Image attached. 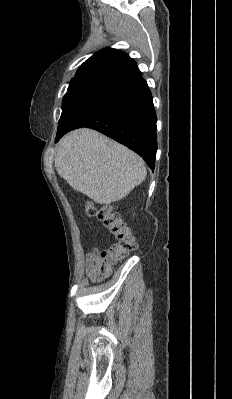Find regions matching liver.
<instances>
[{
	"instance_id": "1",
	"label": "liver",
	"mask_w": 232,
	"mask_h": 399,
	"mask_svg": "<svg viewBox=\"0 0 232 399\" xmlns=\"http://www.w3.org/2000/svg\"><path fill=\"white\" fill-rule=\"evenodd\" d=\"M54 162L60 178L96 203L122 200L147 176L140 156L87 128L60 140Z\"/></svg>"
}]
</instances>
